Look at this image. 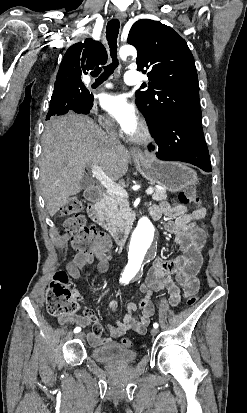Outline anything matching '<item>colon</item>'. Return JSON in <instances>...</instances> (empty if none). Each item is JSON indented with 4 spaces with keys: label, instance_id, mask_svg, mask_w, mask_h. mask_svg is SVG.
I'll return each instance as SVG.
<instances>
[{
    "label": "colon",
    "instance_id": "5ec220e1",
    "mask_svg": "<svg viewBox=\"0 0 247 413\" xmlns=\"http://www.w3.org/2000/svg\"><path fill=\"white\" fill-rule=\"evenodd\" d=\"M181 203H191L200 205L198 194L190 189L184 188L178 195ZM83 208V201L79 198L69 199L61 208L62 216L66 217L64 229L70 235L72 244L77 250H91L96 248L99 257H106L109 254L108 241L97 229L91 227L80 214ZM67 275L60 272L55 280L49 284L46 295V308L50 315L72 314V307L78 304H70L72 291L67 285ZM197 298H187L189 307L195 306ZM122 344L130 347L132 342L129 338H123Z\"/></svg>",
    "mask_w": 247,
    "mask_h": 413
}]
</instances>
